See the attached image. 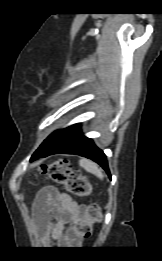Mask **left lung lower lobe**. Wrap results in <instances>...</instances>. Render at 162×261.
Returning a JSON list of instances; mask_svg holds the SVG:
<instances>
[{
    "mask_svg": "<svg viewBox=\"0 0 162 261\" xmlns=\"http://www.w3.org/2000/svg\"><path fill=\"white\" fill-rule=\"evenodd\" d=\"M76 154L89 158L98 163L110 176L106 155L92 141L81 132L80 127L60 140L42 157L52 154Z\"/></svg>",
    "mask_w": 162,
    "mask_h": 261,
    "instance_id": "0a47b994",
    "label": "left lung lower lobe"
}]
</instances>
